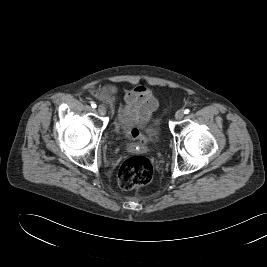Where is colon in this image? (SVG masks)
I'll return each instance as SVG.
<instances>
[{
    "mask_svg": "<svg viewBox=\"0 0 267 267\" xmlns=\"http://www.w3.org/2000/svg\"><path fill=\"white\" fill-rule=\"evenodd\" d=\"M126 137L147 143L146 137L136 128L128 129ZM154 176V168L149 159L143 156H134L125 160L118 172V185L121 189L129 191L149 184Z\"/></svg>",
    "mask_w": 267,
    "mask_h": 267,
    "instance_id": "1",
    "label": "colon"
}]
</instances>
